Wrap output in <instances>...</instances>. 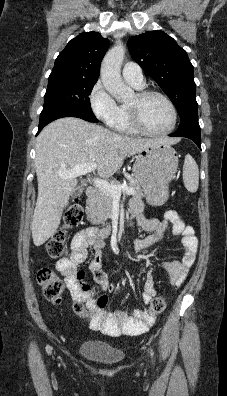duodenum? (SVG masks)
Returning <instances> with one entry per match:
<instances>
[{"mask_svg": "<svg viewBox=\"0 0 227 396\" xmlns=\"http://www.w3.org/2000/svg\"><path fill=\"white\" fill-rule=\"evenodd\" d=\"M86 195H87V201L89 203L93 202L96 197L95 188L89 187L86 191ZM111 232H112V228H110V227L104 228V229L100 230L99 232L96 231L95 240L99 241V240L109 236L111 234Z\"/></svg>", "mask_w": 227, "mask_h": 396, "instance_id": "1", "label": "duodenum"}]
</instances>
